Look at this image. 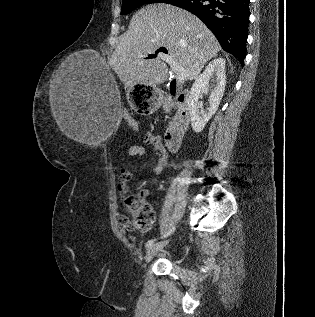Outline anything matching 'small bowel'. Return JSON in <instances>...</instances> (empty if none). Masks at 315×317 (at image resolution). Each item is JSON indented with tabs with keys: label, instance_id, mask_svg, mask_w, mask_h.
I'll return each mask as SVG.
<instances>
[{
	"label": "small bowel",
	"instance_id": "small-bowel-1",
	"mask_svg": "<svg viewBox=\"0 0 315 317\" xmlns=\"http://www.w3.org/2000/svg\"><path fill=\"white\" fill-rule=\"evenodd\" d=\"M144 143L151 148V150L157 156V164L154 167L155 173L162 172L168 163V152L165 149L162 139L159 135L154 134L152 132H146L144 135ZM145 154V148L140 145H132L128 150V158L124 162V164L120 168V179L118 183V191L120 193V197L124 199L126 197V184L132 178V174L128 169L129 164L137 157H140ZM144 198L147 197L148 191H141ZM118 220L124 231H132V225L126 220L125 217L119 216Z\"/></svg>",
	"mask_w": 315,
	"mask_h": 317
}]
</instances>
